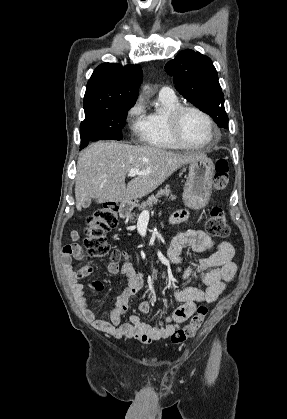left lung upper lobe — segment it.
<instances>
[{"label":"left lung upper lobe","instance_id":"obj_1","mask_svg":"<svg viewBox=\"0 0 287 419\" xmlns=\"http://www.w3.org/2000/svg\"><path fill=\"white\" fill-rule=\"evenodd\" d=\"M165 70L176 89L193 105L209 114L220 128H227L228 116L218 74L209 57L186 49L169 61Z\"/></svg>","mask_w":287,"mask_h":419}]
</instances>
